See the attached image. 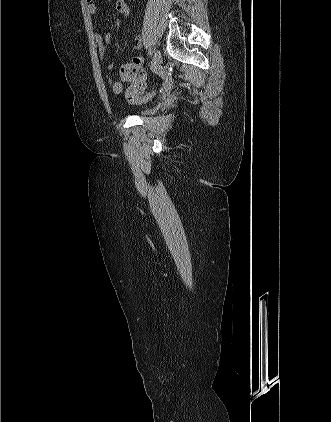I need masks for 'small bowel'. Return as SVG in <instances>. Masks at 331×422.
I'll return each instance as SVG.
<instances>
[{"label": "small bowel", "mask_w": 331, "mask_h": 422, "mask_svg": "<svg viewBox=\"0 0 331 422\" xmlns=\"http://www.w3.org/2000/svg\"><path fill=\"white\" fill-rule=\"evenodd\" d=\"M88 4V12L91 15H94L98 11V4L96 0H86ZM115 7L116 10L123 16L125 20H127L130 16V7L128 6L126 0H115ZM112 33L108 31L104 36L100 33H94L93 39L97 45L98 54L101 58H104L107 53V47L111 42ZM135 48L141 49L142 47V39L140 36H136L134 39ZM144 62V58L142 56H135L131 63L140 66ZM108 70L113 69V64L108 65ZM124 83H129V89L134 90V98L131 100L132 102L140 103L142 101L141 95L144 93L146 89V79L145 77L142 79L138 78H127L122 79V81L112 82L110 84L111 90L115 94H120L124 91ZM127 90V91H128Z\"/></svg>", "instance_id": "1"}]
</instances>
